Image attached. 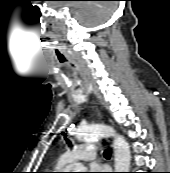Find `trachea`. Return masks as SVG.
Instances as JSON below:
<instances>
[{
    "label": "trachea",
    "instance_id": "1",
    "mask_svg": "<svg viewBox=\"0 0 170 173\" xmlns=\"http://www.w3.org/2000/svg\"><path fill=\"white\" fill-rule=\"evenodd\" d=\"M104 156H105V157H110V156H111V149H110V148H107V149L104 151Z\"/></svg>",
    "mask_w": 170,
    "mask_h": 173
}]
</instances>
